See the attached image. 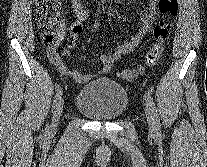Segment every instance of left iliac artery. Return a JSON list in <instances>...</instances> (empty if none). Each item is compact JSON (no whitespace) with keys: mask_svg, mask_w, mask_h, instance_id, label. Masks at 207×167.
Masks as SVG:
<instances>
[{"mask_svg":"<svg viewBox=\"0 0 207 167\" xmlns=\"http://www.w3.org/2000/svg\"><path fill=\"white\" fill-rule=\"evenodd\" d=\"M145 98L147 101V105L149 106L151 113L153 115V120H154L157 135L160 136L161 135L160 134V119H159L158 110L153 102L152 97L148 93L145 94Z\"/></svg>","mask_w":207,"mask_h":167,"instance_id":"obj_1","label":"left iliac artery"}]
</instances>
